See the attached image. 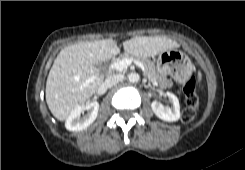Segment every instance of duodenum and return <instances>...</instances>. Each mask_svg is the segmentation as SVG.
Masks as SVG:
<instances>
[{
	"instance_id": "obj_1",
	"label": "duodenum",
	"mask_w": 245,
	"mask_h": 170,
	"mask_svg": "<svg viewBox=\"0 0 245 170\" xmlns=\"http://www.w3.org/2000/svg\"><path fill=\"white\" fill-rule=\"evenodd\" d=\"M114 74H115L114 71H110V72H109V75H114Z\"/></svg>"
}]
</instances>
